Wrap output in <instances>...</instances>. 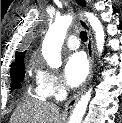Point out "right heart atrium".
<instances>
[{
	"mask_svg": "<svg viewBox=\"0 0 122 123\" xmlns=\"http://www.w3.org/2000/svg\"><path fill=\"white\" fill-rule=\"evenodd\" d=\"M36 88L45 97L61 98L66 93L60 77L45 67L36 71Z\"/></svg>",
	"mask_w": 122,
	"mask_h": 123,
	"instance_id": "right-heart-atrium-1",
	"label": "right heart atrium"
}]
</instances>
